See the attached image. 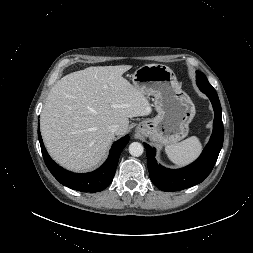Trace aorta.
Segmentation results:
<instances>
[{"label": "aorta", "instance_id": "obj_1", "mask_svg": "<svg viewBox=\"0 0 253 253\" xmlns=\"http://www.w3.org/2000/svg\"><path fill=\"white\" fill-rule=\"evenodd\" d=\"M144 147L139 142H133L129 145V153L134 157H139L143 154Z\"/></svg>", "mask_w": 253, "mask_h": 253}]
</instances>
